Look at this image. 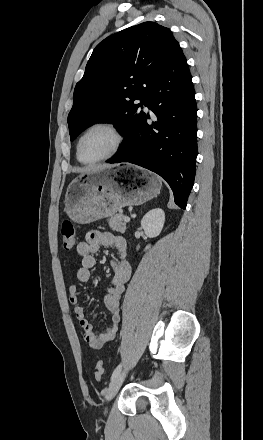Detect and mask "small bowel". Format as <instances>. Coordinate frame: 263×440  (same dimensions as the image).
<instances>
[{
  "instance_id": "1",
  "label": "small bowel",
  "mask_w": 263,
  "mask_h": 440,
  "mask_svg": "<svg viewBox=\"0 0 263 440\" xmlns=\"http://www.w3.org/2000/svg\"><path fill=\"white\" fill-rule=\"evenodd\" d=\"M102 247H113L117 256L111 260L113 275L104 297V302L112 314L111 325L103 332L97 333L88 320L84 307L79 305L78 284L90 280L91 270L96 265L95 254ZM76 253L81 257V266L76 273V282L69 286V301L75 306L74 311L84 331V339L91 348L101 349L116 337L121 320L120 299L131 275L127 243L122 236L110 232L90 231L86 234L85 241L77 245Z\"/></svg>"
}]
</instances>
